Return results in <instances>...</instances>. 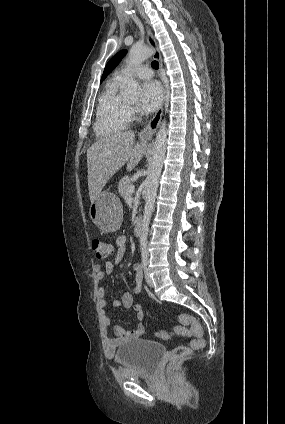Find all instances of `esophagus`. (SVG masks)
Wrapping results in <instances>:
<instances>
[{
	"instance_id": "obj_1",
	"label": "esophagus",
	"mask_w": 285,
	"mask_h": 424,
	"mask_svg": "<svg viewBox=\"0 0 285 424\" xmlns=\"http://www.w3.org/2000/svg\"><path fill=\"white\" fill-rule=\"evenodd\" d=\"M146 38H147L148 44L150 45V47L152 49L153 57H154V59L157 60V62L159 64L160 78H161V81H162L163 93H164V98H165L166 87H165V82H164V78H163V74H162V70H163L162 59H161L160 52L158 50L157 43H156V41L153 37L151 30L148 27L146 28ZM162 114H163V105L156 112V114L153 116V118L148 122V124L142 129V131L140 132V136H142V137L152 136L156 132V130H157L159 124H160Z\"/></svg>"
}]
</instances>
